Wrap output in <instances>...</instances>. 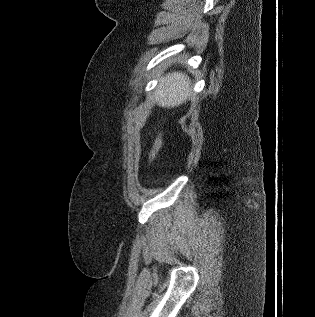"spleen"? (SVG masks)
I'll return each mask as SVG.
<instances>
[{
    "mask_svg": "<svg viewBox=\"0 0 315 317\" xmlns=\"http://www.w3.org/2000/svg\"><path fill=\"white\" fill-rule=\"evenodd\" d=\"M191 80L183 73H169L160 81L153 93V100L160 107L173 108L191 96Z\"/></svg>",
    "mask_w": 315,
    "mask_h": 317,
    "instance_id": "1",
    "label": "spleen"
}]
</instances>
